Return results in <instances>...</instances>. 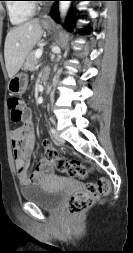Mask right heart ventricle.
Returning a JSON list of instances; mask_svg holds the SVG:
<instances>
[{"mask_svg":"<svg viewBox=\"0 0 133 253\" xmlns=\"http://www.w3.org/2000/svg\"><path fill=\"white\" fill-rule=\"evenodd\" d=\"M7 11L12 24L19 25L29 20L35 12L34 6L24 0H12L7 3Z\"/></svg>","mask_w":133,"mask_h":253,"instance_id":"1","label":"right heart ventricle"}]
</instances>
